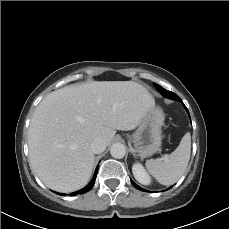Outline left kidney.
<instances>
[{
	"label": "left kidney",
	"instance_id": "obj_1",
	"mask_svg": "<svg viewBox=\"0 0 229 229\" xmlns=\"http://www.w3.org/2000/svg\"><path fill=\"white\" fill-rule=\"evenodd\" d=\"M132 172H133L135 179L139 183L143 185H149L151 183V178L149 174L146 172V170L140 163H135L132 166Z\"/></svg>",
	"mask_w": 229,
	"mask_h": 229
}]
</instances>
